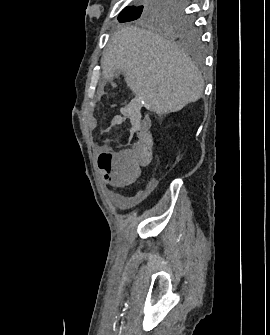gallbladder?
<instances>
[{"label":"gallbladder","mask_w":270,"mask_h":335,"mask_svg":"<svg viewBox=\"0 0 270 335\" xmlns=\"http://www.w3.org/2000/svg\"><path fill=\"white\" fill-rule=\"evenodd\" d=\"M120 72H122V74H124L123 70H120ZM120 72H118V76H120Z\"/></svg>","instance_id":"1"}]
</instances>
